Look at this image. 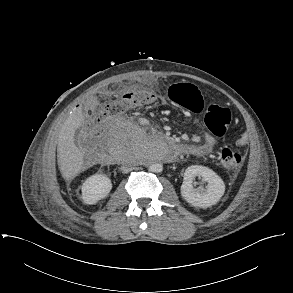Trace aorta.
<instances>
[{
    "mask_svg": "<svg viewBox=\"0 0 293 293\" xmlns=\"http://www.w3.org/2000/svg\"><path fill=\"white\" fill-rule=\"evenodd\" d=\"M153 146L157 150V153L161 156L166 155L167 153V144L162 140H154ZM149 170L154 173H159L163 170V166L159 162H153L149 166Z\"/></svg>",
    "mask_w": 293,
    "mask_h": 293,
    "instance_id": "762f6f07",
    "label": "aorta"
}]
</instances>
